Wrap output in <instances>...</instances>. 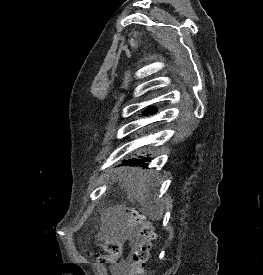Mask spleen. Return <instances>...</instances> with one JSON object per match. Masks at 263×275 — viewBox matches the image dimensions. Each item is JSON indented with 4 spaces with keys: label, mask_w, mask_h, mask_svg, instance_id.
I'll use <instances>...</instances> for the list:
<instances>
[{
    "label": "spleen",
    "mask_w": 263,
    "mask_h": 275,
    "mask_svg": "<svg viewBox=\"0 0 263 275\" xmlns=\"http://www.w3.org/2000/svg\"><path fill=\"white\" fill-rule=\"evenodd\" d=\"M126 184L128 189L132 192L136 200L145 208L151 209V190L153 189L151 175L142 171H131L126 177ZM153 201L157 203V198L154 197ZM162 209H160L156 216H162Z\"/></svg>",
    "instance_id": "spleen-1"
}]
</instances>
